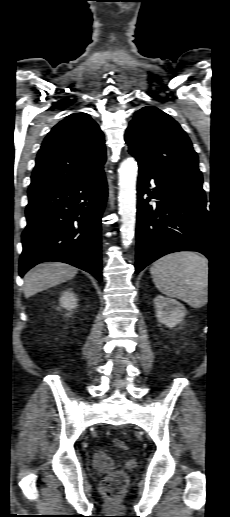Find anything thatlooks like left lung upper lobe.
<instances>
[{
  "label": "left lung upper lobe",
  "instance_id": "left-lung-upper-lobe-1",
  "mask_svg": "<svg viewBox=\"0 0 230 517\" xmlns=\"http://www.w3.org/2000/svg\"><path fill=\"white\" fill-rule=\"evenodd\" d=\"M125 142L140 167L180 181L203 182L190 139L160 109L146 106L137 111L127 128Z\"/></svg>",
  "mask_w": 230,
  "mask_h": 517
}]
</instances>
